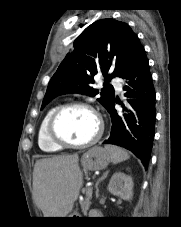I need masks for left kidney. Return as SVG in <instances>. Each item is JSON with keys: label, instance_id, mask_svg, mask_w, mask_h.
<instances>
[{"label": "left kidney", "instance_id": "1", "mask_svg": "<svg viewBox=\"0 0 181 227\" xmlns=\"http://www.w3.org/2000/svg\"><path fill=\"white\" fill-rule=\"evenodd\" d=\"M108 191L124 200H131L133 196V180L131 176L123 172L114 173L109 181Z\"/></svg>", "mask_w": 181, "mask_h": 227}]
</instances>
